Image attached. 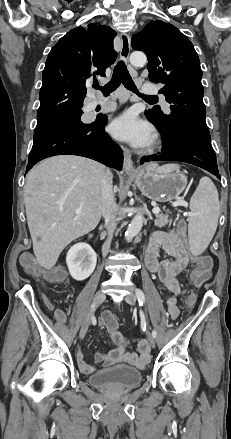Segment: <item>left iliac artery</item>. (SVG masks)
I'll return each mask as SVG.
<instances>
[{
	"label": "left iliac artery",
	"instance_id": "left-iliac-artery-1",
	"mask_svg": "<svg viewBox=\"0 0 231 439\" xmlns=\"http://www.w3.org/2000/svg\"><path fill=\"white\" fill-rule=\"evenodd\" d=\"M135 293H136L139 305L143 306V304L145 303V295H144L143 291L140 289H136ZM152 336L154 338L157 336V332L155 330L152 331Z\"/></svg>",
	"mask_w": 231,
	"mask_h": 439
}]
</instances>
